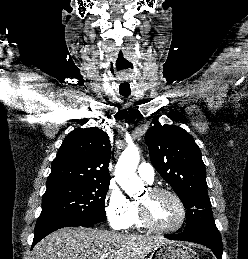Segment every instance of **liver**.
<instances>
[{
	"mask_svg": "<svg viewBox=\"0 0 248 259\" xmlns=\"http://www.w3.org/2000/svg\"><path fill=\"white\" fill-rule=\"evenodd\" d=\"M158 236L120 234L99 229L67 227L46 236L31 259H144L161 244Z\"/></svg>",
	"mask_w": 248,
	"mask_h": 259,
	"instance_id": "1",
	"label": "liver"
}]
</instances>
